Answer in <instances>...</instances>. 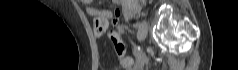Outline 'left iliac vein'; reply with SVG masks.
<instances>
[{
	"instance_id": "1",
	"label": "left iliac vein",
	"mask_w": 238,
	"mask_h": 70,
	"mask_svg": "<svg viewBox=\"0 0 238 70\" xmlns=\"http://www.w3.org/2000/svg\"><path fill=\"white\" fill-rule=\"evenodd\" d=\"M147 33H148V24L145 20H143L141 22V25L138 31V39L140 41H143L146 38Z\"/></svg>"
}]
</instances>
